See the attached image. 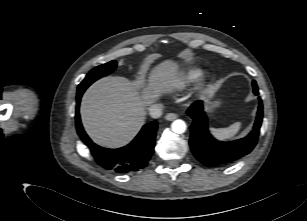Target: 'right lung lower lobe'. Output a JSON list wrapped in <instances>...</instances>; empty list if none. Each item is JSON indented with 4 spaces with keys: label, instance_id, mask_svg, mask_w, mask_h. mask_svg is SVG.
Returning <instances> with one entry per match:
<instances>
[{
    "label": "right lung lower lobe",
    "instance_id": "obj_1",
    "mask_svg": "<svg viewBox=\"0 0 307 221\" xmlns=\"http://www.w3.org/2000/svg\"><path fill=\"white\" fill-rule=\"evenodd\" d=\"M82 94L83 92H77L76 129L95 161L103 168L116 173H130L144 168L154 151L157 122L144 125L136 138L123 148L108 149L98 146L85 133L80 121L79 105Z\"/></svg>",
    "mask_w": 307,
    "mask_h": 221
}]
</instances>
